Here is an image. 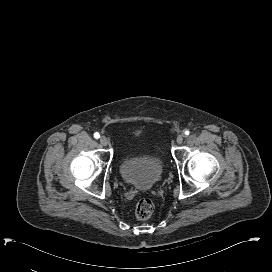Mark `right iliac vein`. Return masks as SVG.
Here are the masks:
<instances>
[{
	"mask_svg": "<svg viewBox=\"0 0 272 272\" xmlns=\"http://www.w3.org/2000/svg\"><path fill=\"white\" fill-rule=\"evenodd\" d=\"M99 142H100V144H101L102 146H107V145H108V139H107V137H105V136H102V137L100 138Z\"/></svg>",
	"mask_w": 272,
	"mask_h": 272,
	"instance_id": "1",
	"label": "right iliac vein"
}]
</instances>
